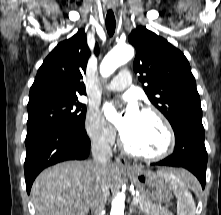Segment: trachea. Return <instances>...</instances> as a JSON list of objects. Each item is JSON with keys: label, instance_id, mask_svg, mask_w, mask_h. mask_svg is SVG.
I'll return each instance as SVG.
<instances>
[{"label": "trachea", "instance_id": "1", "mask_svg": "<svg viewBox=\"0 0 221 215\" xmlns=\"http://www.w3.org/2000/svg\"><path fill=\"white\" fill-rule=\"evenodd\" d=\"M115 16L112 10H108L107 15H106V28L107 32L110 36H113L115 32Z\"/></svg>", "mask_w": 221, "mask_h": 215}]
</instances>
